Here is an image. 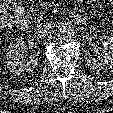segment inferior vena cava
Instances as JSON below:
<instances>
[{"label":"inferior vena cava","instance_id":"1","mask_svg":"<svg viewBox=\"0 0 113 113\" xmlns=\"http://www.w3.org/2000/svg\"><path fill=\"white\" fill-rule=\"evenodd\" d=\"M52 27H53L52 23H49V22L41 23L37 25L36 32L38 34H48L50 33Z\"/></svg>","mask_w":113,"mask_h":113}]
</instances>
